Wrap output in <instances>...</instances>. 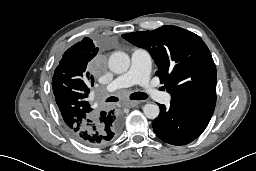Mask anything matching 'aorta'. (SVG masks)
Listing matches in <instances>:
<instances>
[{"mask_svg":"<svg viewBox=\"0 0 256 171\" xmlns=\"http://www.w3.org/2000/svg\"><path fill=\"white\" fill-rule=\"evenodd\" d=\"M108 66L116 74L125 73L130 67V58L125 52H114L108 60ZM143 112L148 119H155L158 117L160 109L156 104H145Z\"/></svg>","mask_w":256,"mask_h":171,"instance_id":"obj_1","label":"aorta"}]
</instances>
